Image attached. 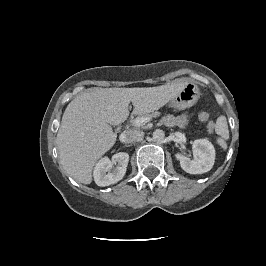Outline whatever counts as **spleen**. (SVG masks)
Instances as JSON below:
<instances>
[{
  "label": "spleen",
  "mask_w": 266,
  "mask_h": 266,
  "mask_svg": "<svg viewBox=\"0 0 266 266\" xmlns=\"http://www.w3.org/2000/svg\"><path fill=\"white\" fill-rule=\"evenodd\" d=\"M215 131L220 136L217 139V143L219 144V146H221V148L226 150L227 149L226 140L229 138V130L225 116H220L217 119Z\"/></svg>",
  "instance_id": "obj_1"
}]
</instances>
